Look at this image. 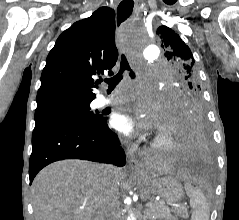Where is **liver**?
Wrapping results in <instances>:
<instances>
[{"instance_id":"6515ba94","label":"liver","mask_w":239,"mask_h":220,"mask_svg":"<svg viewBox=\"0 0 239 220\" xmlns=\"http://www.w3.org/2000/svg\"><path fill=\"white\" fill-rule=\"evenodd\" d=\"M103 165L84 160H62L45 167L35 177L32 205L35 220H96L109 207L115 213L117 189L107 193ZM122 169L115 168L116 186L124 178ZM177 179L189 180L185 170L176 173Z\"/></svg>"}]
</instances>
